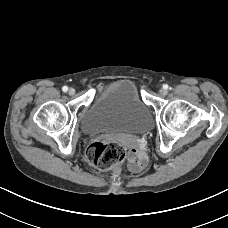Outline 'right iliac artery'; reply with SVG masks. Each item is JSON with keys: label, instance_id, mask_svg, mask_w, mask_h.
<instances>
[{"label": "right iliac artery", "instance_id": "right-iliac-artery-1", "mask_svg": "<svg viewBox=\"0 0 228 228\" xmlns=\"http://www.w3.org/2000/svg\"><path fill=\"white\" fill-rule=\"evenodd\" d=\"M62 90H63V92H67L68 91V87L67 86H63Z\"/></svg>", "mask_w": 228, "mask_h": 228}]
</instances>
